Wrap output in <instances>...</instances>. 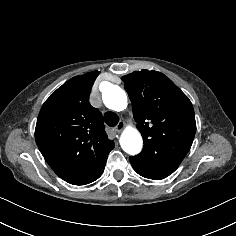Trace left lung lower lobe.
<instances>
[{"label":"left lung lower lobe","instance_id":"1","mask_svg":"<svg viewBox=\"0 0 236 236\" xmlns=\"http://www.w3.org/2000/svg\"><path fill=\"white\" fill-rule=\"evenodd\" d=\"M135 171L149 179L160 180L172 174L179 165L152 163L145 159L132 156L129 158Z\"/></svg>","mask_w":236,"mask_h":236}]
</instances>
